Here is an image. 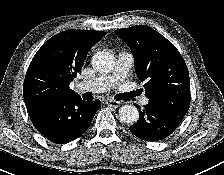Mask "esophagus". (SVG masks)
Masks as SVG:
<instances>
[{"label":"esophagus","instance_id":"34e87169","mask_svg":"<svg viewBox=\"0 0 224 175\" xmlns=\"http://www.w3.org/2000/svg\"><path fill=\"white\" fill-rule=\"evenodd\" d=\"M106 104L108 106L117 108V107H119L121 105V102L120 101H117V100H113V99H107L106 100Z\"/></svg>","mask_w":224,"mask_h":175}]
</instances>
